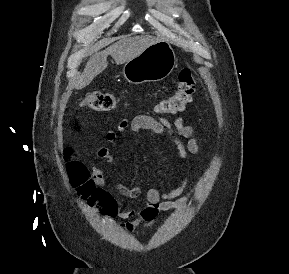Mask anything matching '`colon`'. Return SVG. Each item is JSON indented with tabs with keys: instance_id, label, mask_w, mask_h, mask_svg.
<instances>
[{
	"instance_id": "5ec220e1",
	"label": "colon",
	"mask_w": 289,
	"mask_h": 274,
	"mask_svg": "<svg viewBox=\"0 0 289 274\" xmlns=\"http://www.w3.org/2000/svg\"><path fill=\"white\" fill-rule=\"evenodd\" d=\"M196 88V81L190 69L185 68L178 75V82L174 93L160 101L156 111L161 114H175L185 109L191 101ZM118 98L109 92L93 91L88 93L82 101V105L92 111H111L117 108ZM71 150L68 148L65 155L69 156ZM68 172L74 187L88 203L105 212L113 213L115 201L113 197L96 184L90 171L78 161H70L67 164Z\"/></svg>"
}]
</instances>
